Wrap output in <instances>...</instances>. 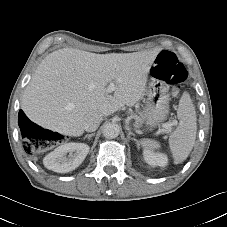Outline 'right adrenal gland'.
Here are the masks:
<instances>
[{
	"label": "right adrenal gland",
	"instance_id": "2a0ac1e0",
	"mask_svg": "<svg viewBox=\"0 0 227 227\" xmlns=\"http://www.w3.org/2000/svg\"><path fill=\"white\" fill-rule=\"evenodd\" d=\"M94 135H95V133L86 134V135L83 137V139L88 138V140H90V139H91V137H93Z\"/></svg>",
	"mask_w": 227,
	"mask_h": 227
}]
</instances>
